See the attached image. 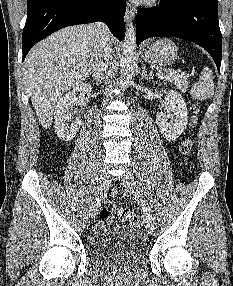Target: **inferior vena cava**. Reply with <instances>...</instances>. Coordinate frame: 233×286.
I'll return each instance as SVG.
<instances>
[{
    "instance_id": "obj_1",
    "label": "inferior vena cava",
    "mask_w": 233,
    "mask_h": 286,
    "mask_svg": "<svg viewBox=\"0 0 233 286\" xmlns=\"http://www.w3.org/2000/svg\"><path fill=\"white\" fill-rule=\"evenodd\" d=\"M94 26L99 30L100 37L98 38L96 46L92 72L94 79L101 82L104 72L107 70L112 60V47L110 34L106 26L102 23H97Z\"/></svg>"
}]
</instances>
